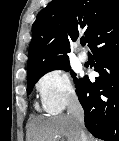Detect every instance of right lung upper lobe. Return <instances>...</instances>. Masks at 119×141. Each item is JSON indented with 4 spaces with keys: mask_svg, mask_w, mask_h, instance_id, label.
Instances as JSON below:
<instances>
[{
    "mask_svg": "<svg viewBox=\"0 0 119 141\" xmlns=\"http://www.w3.org/2000/svg\"><path fill=\"white\" fill-rule=\"evenodd\" d=\"M119 17V0H53L32 25L28 71L33 74L69 63L70 40L84 29L88 46L99 30Z\"/></svg>",
    "mask_w": 119,
    "mask_h": 141,
    "instance_id": "1",
    "label": "right lung upper lobe"
}]
</instances>
